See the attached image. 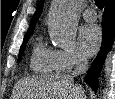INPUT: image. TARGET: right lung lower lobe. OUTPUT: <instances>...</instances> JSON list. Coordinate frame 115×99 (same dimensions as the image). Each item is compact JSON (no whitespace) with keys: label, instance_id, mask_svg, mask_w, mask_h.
I'll return each instance as SVG.
<instances>
[{"label":"right lung lower lobe","instance_id":"98d812e1","mask_svg":"<svg viewBox=\"0 0 115 99\" xmlns=\"http://www.w3.org/2000/svg\"><path fill=\"white\" fill-rule=\"evenodd\" d=\"M115 35V0L105 3L102 17V47L97 58L85 77V82L96 92L98 87V76L108 51L111 49Z\"/></svg>","mask_w":115,"mask_h":99}]
</instances>
